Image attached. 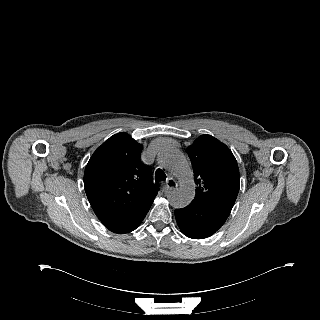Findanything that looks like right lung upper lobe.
I'll use <instances>...</instances> for the list:
<instances>
[{
	"label": "right lung upper lobe",
	"instance_id": "cb5924a9",
	"mask_svg": "<svg viewBox=\"0 0 320 320\" xmlns=\"http://www.w3.org/2000/svg\"><path fill=\"white\" fill-rule=\"evenodd\" d=\"M141 151V144L121 132L106 140L91 156L84 173V186L101 222L151 207L158 185L140 161Z\"/></svg>",
	"mask_w": 320,
	"mask_h": 320
}]
</instances>
